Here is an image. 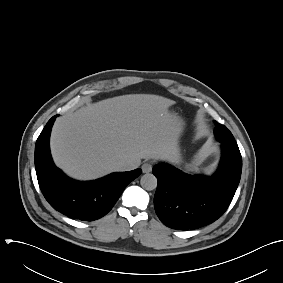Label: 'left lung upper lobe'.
<instances>
[{
  "label": "left lung upper lobe",
  "instance_id": "obj_1",
  "mask_svg": "<svg viewBox=\"0 0 283 283\" xmlns=\"http://www.w3.org/2000/svg\"><path fill=\"white\" fill-rule=\"evenodd\" d=\"M214 123L216 124V128H215L216 138L221 143H226L231 147L238 148V145H237L233 135L231 134V132L224 125H221V124L217 123L216 121H214Z\"/></svg>",
  "mask_w": 283,
  "mask_h": 283
}]
</instances>
